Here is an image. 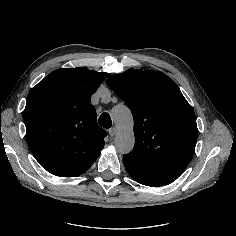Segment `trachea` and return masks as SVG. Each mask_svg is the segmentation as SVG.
Instances as JSON below:
<instances>
[{
    "mask_svg": "<svg viewBox=\"0 0 236 236\" xmlns=\"http://www.w3.org/2000/svg\"><path fill=\"white\" fill-rule=\"evenodd\" d=\"M98 122H99V125L102 126L103 128L108 129L112 127V121H111L110 115L107 112H104L103 114H101Z\"/></svg>",
    "mask_w": 236,
    "mask_h": 236,
    "instance_id": "1",
    "label": "trachea"
}]
</instances>
